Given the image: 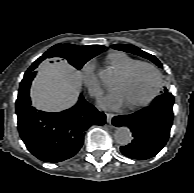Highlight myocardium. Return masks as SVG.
<instances>
[{"instance_id": "1", "label": "myocardium", "mask_w": 194, "mask_h": 193, "mask_svg": "<svg viewBox=\"0 0 194 193\" xmlns=\"http://www.w3.org/2000/svg\"><path fill=\"white\" fill-rule=\"evenodd\" d=\"M140 67H149L154 71L156 75V87L153 93L145 101L140 102L138 104H130V105L125 104V107L129 110H135V109L148 106L156 99V97L159 95L161 88H162V83H163L162 74L160 70L158 69V67L155 64L150 63V62H138L134 64L133 66H131L130 68H128L127 70H125L124 72H122L120 74V77L122 79H127Z\"/></svg>"}]
</instances>
